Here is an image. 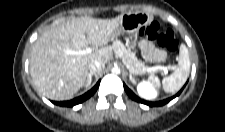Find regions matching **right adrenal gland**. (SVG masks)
Returning a JSON list of instances; mask_svg holds the SVG:
<instances>
[{
	"mask_svg": "<svg viewBox=\"0 0 225 132\" xmlns=\"http://www.w3.org/2000/svg\"><path fill=\"white\" fill-rule=\"evenodd\" d=\"M94 74H88L87 78H86V83H85V87H88L91 85V82H92V76Z\"/></svg>",
	"mask_w": 225,
	"mask_h": 132,
	"instance_id": "right-adrenal-gland-1",
	"label": "right adrenal gland"
}]
</instances>
